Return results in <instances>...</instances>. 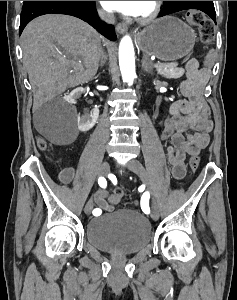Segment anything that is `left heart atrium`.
<instances>
[{
	"label": "left heart atrium",
	"mask_w": 237,
	"mask_h": 300,
	"mask_svg": "<svg viewBox=\"0 0 237 300\" xmlns=\"http://www.w3.org/2000/svg\"><path fill=\"white\" fill-rule=\"evenodd\" d=\"M144 1H101L103 7L111 12L136 15Z\"/></svg>",
	"instance_id": "obj_1"
}]
</instances>
